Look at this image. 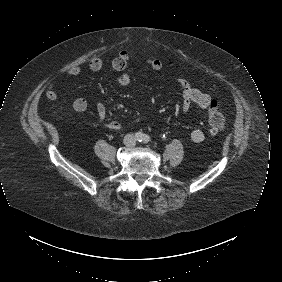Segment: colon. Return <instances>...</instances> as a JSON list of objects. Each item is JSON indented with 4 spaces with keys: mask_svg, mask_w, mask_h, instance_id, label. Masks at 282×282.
Returning a JSON list of instances; mask_svg holds the SVG:
<instances>
[{
    "mask_svg": "<svg viewBox=\"0 0 282 282\" xmlns=\"http://www.w3.org/2000/svg\"><path fill=\"white\" fill-rule=\"evenodd\" d=\"M208 127L212 133L223 130L225 126L224 115L218 105V102L211 100L207 110Z\"/></svg>",
    "mask_w": 282,
    "mask_h": 282,
    "instance_id": "obj_1",
    "label": "colon"
}]
</instances>
